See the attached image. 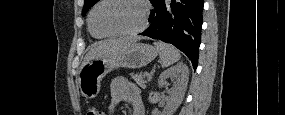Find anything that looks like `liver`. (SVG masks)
<instances>
[{"mask_svg":"<svg viewBox=\"0 0 285 115\" xmlns=\"http://www.w3.org/2000/svg\"><path fill=\"white\" fill-rule=\"evenodd\" d=\"M135 38H119L116 40H106L94 45L86 54L81 68L90 60L100 59L107 56H113L127 49L132 43H135Z\"/></svg>","mask_w":285,"mask_h":115,"instance_id":"6515ba94","label":"liver"}]
</instances>
